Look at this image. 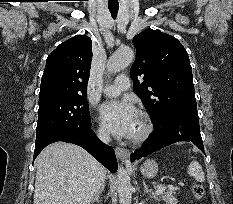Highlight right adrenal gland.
I'll return each instance as SVG.
<instances>
[{
	"label": "right adrenal gland",
	"mask_w": 233,
	"mask_h": 204,
	"mask_svg": "<svg viewBox=\"0 0 233 204\" xmlns=\"http://www.w3.org/2000/svg\"><path fill=\"white\" fill-rule=\"evenodd\" d=\"M103 191H104V185L101 187V189L97 192V194L95 195V197L92 199V201H91V204L93 203V202H97V203H99V199H100V196L102 195V193H103Z\"/></svg>",
	"instance_id": "2a0ac1e0"
}]
</instances>
